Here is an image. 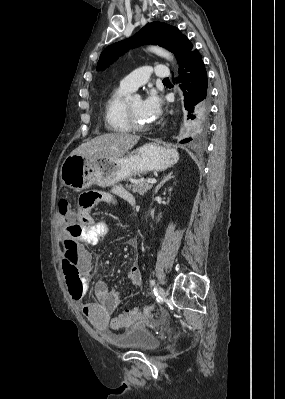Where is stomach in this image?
<instances>
[{
    "label": "stomach",
    "instance_id": "1",
    "mask_svg": "<svg viewBox=\"0 0 285 399\" xmlns=\"http://www.w3.org/2000/svg\"><path fill=\"white\" fill-rule=\"evenodd\" d=\"M178 161L174 150L155 143L140 147L125 157L90 160L81 155H69L60 169L64 186L80 191L93 184L110 186L135 174L163 171Z\"/></svg>",
    "mask_w": 285,
    "mask_h": 399
}]
</instances>
